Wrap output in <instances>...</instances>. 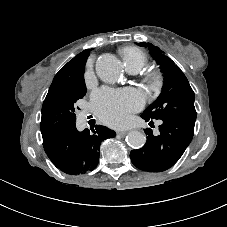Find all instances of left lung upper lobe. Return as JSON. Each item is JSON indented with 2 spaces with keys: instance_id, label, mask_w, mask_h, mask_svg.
<instances>
[{
  "instance_id": "left-lung-upper-lobe-1",
  "label": "left lung upper lobe",
  "mask_w": 227,
  "mask_h": 227,
  "mask_svg": "<svg viewBox=\"0 0 227 227\" xmlns=\"http://www.w3.org/2000/svg\"><path fill=\"white\" fill-rule=\"evenodd\" d=\"M138 45L150 50L164 75L161 94L142 115L152 119L175 116L195 121L197 116L194 107L195 95L181 69L151 43L141 42Z\"/></svg>"
}]
</instances>
